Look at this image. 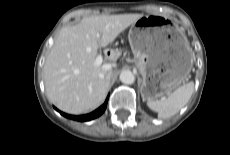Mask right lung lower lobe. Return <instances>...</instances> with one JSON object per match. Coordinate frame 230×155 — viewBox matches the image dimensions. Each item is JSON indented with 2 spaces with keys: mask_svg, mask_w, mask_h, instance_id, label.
<instances>
[{
  "mask_svg": "<svg viewBox=\"0 0 230 155\" xmlns=\"http://www.w3.org/2000/svg\"><path fill=\"white\" fill-rule=\"evenodd\" d=\"M108 98H109V96L107 97L104 104L102 106H100L97 110L93 111L92 113L86 114V115L74 116V115H69V114L63 113L59 110L58 111L60 112L61 115H63L66 118H69V119H73V120H77V121H81V122L89 121V120H92V119L99 117L105 111V109L107 107Z\"/></svg>",
  "mask_w": 230,
  "mask_h": 155,
  "instance_id": "98d812e1",
  "label": "right lung lower lobe"
}]
</instances>
